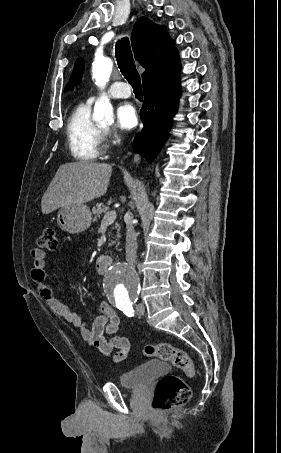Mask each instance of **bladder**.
<instances>
[{
    "mask_svg": "<svg viewBox=\"0 0 281 453\" xmlns=\"http://www.w3.org/2000/svg\"><path fill=\"white\" fill-rule=\"evenodd\" d=\"M169 365L162 361H150L119 376V384L125 388H141L157 376L169 371Z\"/></svg>",
    "mask_w": 281,
    "mask_h": 453,
    "instance_id": "bladder-1",
    "label": "bladder"
}]
</instances>
